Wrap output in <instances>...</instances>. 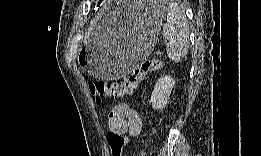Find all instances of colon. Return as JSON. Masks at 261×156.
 Segmentation results:
<instances>
[{"instance_id":"obj_1","label":"colon","mask_w":261,"mask_h":156,"mask_svg":"<svg viewBox=\"0 0 261 156\" xmlns=\"http://www.w3.org/2000/svg\"><path fill=\"white\" fill-rule=\"evenodd\" d=\"M159 68L160 62L158 60H145L136 66L125 80L121 82L91 80L89 89L98 103L108 96L123 97L131 94L148 72L157 71ZM144 138L145 135L140 138V141H143ZM106 140L111 156H121L123 149L131 143V139L114 132L108 133Z\"/></svg>"}]
</instances>
